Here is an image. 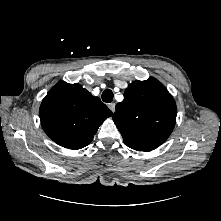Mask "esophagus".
<instances>
[{
  "label": "esophagus",
  "mask_w": 221,
  "mask_h": 221,
  "mask_svg": "<svg viewBox=\"0 0 221 221\" xmlns=\"http://www.w3.org/2000/svg\"><path fill=\"white\" fill-rule=\"evenodd\" d=\"M109 109L114 112L115 111V103H109L108 104Z\"/></svg>",
  "instance_id": "esophagus-1"
}]
</instances>
